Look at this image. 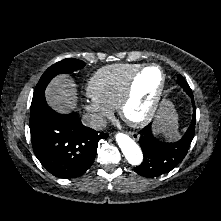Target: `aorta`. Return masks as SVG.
<instances>
[{"label":"aorta","mask_w":221,"mask_h":221,"mask_svg":"<svg viewBox=\"0 0 221 221\" xmlns=\"http://www.w3.org/2000/svg\"><path fill=\"white\" fill-rule=\"evenodd\" d=\"M116 141L130 164L139 165L142 162V151L132 138L124 133H118Z\"/></svg>","instance_id":"aorta-1"}]
</instances>
